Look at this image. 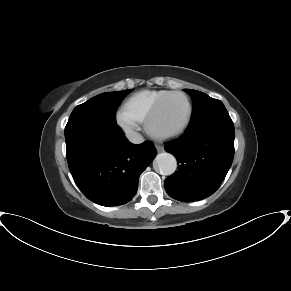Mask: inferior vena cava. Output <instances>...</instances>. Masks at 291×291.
<instances>
[{
  "instance_id": "inferior-vena-cava-1",
  "label": "inferior vena cava",
  "mask_w": 291,
  "mask_h": 291,
  "mask_svg": "<svg viewBox=\"0 0 291 291\" xmlns=\"http://www.w3.org/2000/svg\"><path fill=\"white\" fill-rule=\"evenodd\" d=\"M128 140L133 144H140L144 141L141 134L138 132H130L127 134Z\"/></svg>"
}]
</instances>
